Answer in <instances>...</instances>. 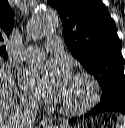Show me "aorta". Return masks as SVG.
Listing matches in <instances>:
<instances>
[{"mask_svg":"<svg viewBox=\"0 0 125 128\" xmlns=\"http://www.w3.org/2000/svg\"><path fill=\"white\" fill-rule=\"evenodd\" d=\"M59 24L57 12L47 7L40 9L28 25V33L32 38L38 39L56 30Z\"/></svg>","mask_w":125,"mask_h":128,"instance_id":"aorta-1","label":"aorta"}]
</instances>
